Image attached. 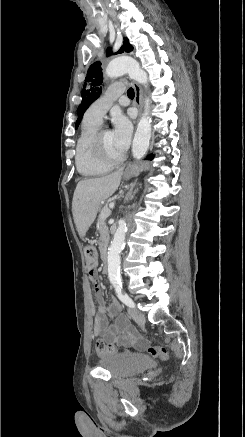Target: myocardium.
<instances>
[{
  "instance_id": "obj_1",
  "label": "myocardium",
  "mask_w": 245,
  "mask_h": 437,
  "mask_svg": "<svg viewBox=\"0 0 245 437\" xmlns=\"http://www.w3.org/2000/svg\"><path fill=\"white\" fill-rule=\"evenodd\" d=\"M102 132H103L102 129H98L92 138L91 148L94 155L100 161L110 165H115L121 162L125 157L124 154L120 155L119 157H112L105 151V148L102 143Z\"/></svg>"
}]
</instances>
